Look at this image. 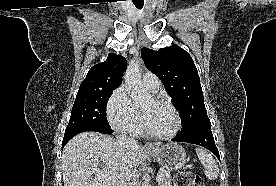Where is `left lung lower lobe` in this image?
Wrapping results in <instances>:
<instances>
[{"label": "left lung lower lobe", "mask_w": 276, "mask_h": 186, "mask_svg": "<svg viewBox=\"0 0 276 186\" xmlns=\"http://www.w3.org/2000/svg\"><path fill=\"white\" fill-rule=\"evenodd\" d=\"M172 141L200 145L211 151L220 160L219 152L215 145L214 137L211 131V125L197 127L187 133L179 134L174 139H172Z\"/></svg>", "instance_id": "left-lung-lower-lobe-1"}]
</instances>
